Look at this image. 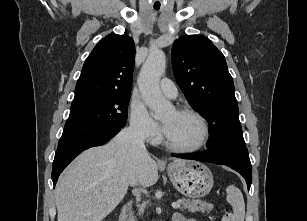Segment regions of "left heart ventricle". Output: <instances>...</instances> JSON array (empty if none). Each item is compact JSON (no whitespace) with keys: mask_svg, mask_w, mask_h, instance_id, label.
<instances>
[{"mask_svg":"<svg viewBox=\"0 0 307 221\" xmlns=\"http://www.w3.org/2000/svg\"><path fill=\"white\" fill-rule=\"evenodd\" d=\"M162 122L168 140L174 145L191 146L201 137L200 123L191 115L172 110L162 118Z\"/></svg>","mask_w":307,"mask_h":221,"instance_id":"obj_1","label":"left heart ventricle"}]
</instances>
